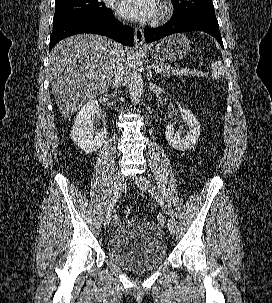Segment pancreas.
Masks as SVG:
<instances>
[{
    "mask_svg": "<svg viewBox=\"0 0 272 303\" xmlns=\"http://www.w3.org/2000/svg\"><path fill=\"white\" fill-rule=\"evenodd\" d=\"M157 67L161 68V75L164 77H170L173 75H191L192 71L190 69H173L170 65L164 64L163 62H157Z\"/></svg>",
    "mask_w": 272,
    "mask_h": 303,
    "instance_id": "cf45deb5",
    "label": "pancreas"
}]
</instances>
